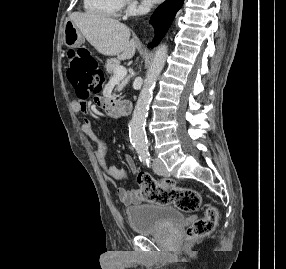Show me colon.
<instances>
[{
  "label": "colon",
  "mask_w": 286,
  "mask_h": 269,
  "mask_svg": "<svg viewBox=\"0 0 286 269\" xmlns=\"http://www.w3.org/2000/svg\"><path fill=\"white\" fill-rule=\"evenodd\" d=\"M98 74L96 61L87 50L79 49L69 53L67 76L79 96L87 97L96 92ZM137 184L140 198L160 204L174 203L184 212L195 211L201 203L198 191L192 188H172L165 191L149 174H139ZM217 218L216 209L208 207L203 217L187 229V240L198 239L211 233L216 226Z\"/></svg>",
  "instance_id": "colon-1"
}]
</instances>
